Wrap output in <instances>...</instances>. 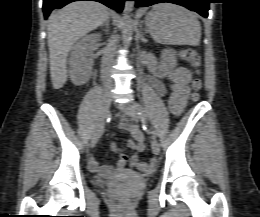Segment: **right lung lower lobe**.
<instances>
[{"label":"right lung lower lobe","instance_id":"98d812e1","mask_svg":"<svg viewBox=\"0 0 260 217\" xmlns=\"http://www.w3.org/2000/svg\"><path fill=\"white\" fill-rule=\"evenodd\" d=\"M73 1H78V0H43V12H44L45 19H47V17L49 16L50 12L53 9H59ZM93 1H98L100 3H103L106 6L120 13L123 9V5L126 0H93Z\"/></svg>","mask_w":260,"mask_h":217}]
</instances>
